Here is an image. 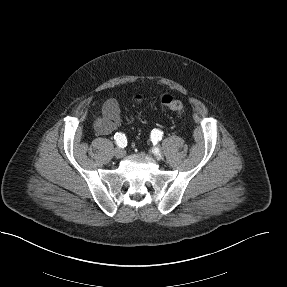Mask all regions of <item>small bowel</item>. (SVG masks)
<instances>
[{"label": "small bowel", "mask_w": 287, "mask_h": 287, "mask_svg": "<svg viewBox=\"0 0 287 287\" xmlns=\"http://www.w3.org/2000/svg\"><path fill=\"white\" fill-rule=\"evenodd\" d=\"M120 124V106L117 100L108 99L100 116L94 121V129L99 135H109L114 132Z\"/></svg>", "instance_id": "obj_1"}]
</instances>
